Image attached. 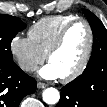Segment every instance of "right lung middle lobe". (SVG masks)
<instances>
[{
	"label": "right lung middle lobe",
	"mask_w": 107,
	"mask_h": 107,
	"mask_svg": "<svg viewBox=\"0 0 107 107\" xmlns=\"http://www.w3.org/2000/svg\"><path fill=\"white\" fill-rule=\"evenodd\" d=\"M25 28L26 24L17 17L0 14V63H13L11 41Z\"/></svg>",
	"instance_id": "obj_1"
}]
</instances>
